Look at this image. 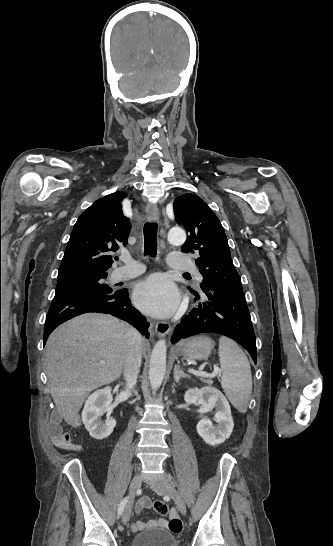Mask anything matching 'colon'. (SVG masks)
<instances>
[{
  "mask_svg": "<svg viewBox=\"0 0 333 546\" xmlns=\"http://www.w3.org/2000/svg\"><path fill=\"white\" fill-rule=\"evenodd\" d=\"M153 508L157 514L162 516L167 515L169 512L168 505L162 500H156L153 504Z\"/></svg>",
  "mask_w": 333,
  "mask_h": 546,
  "instance_id": "1",
  "label": "colon"
}]
</instances>
